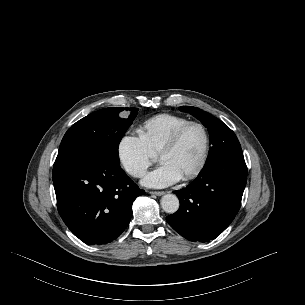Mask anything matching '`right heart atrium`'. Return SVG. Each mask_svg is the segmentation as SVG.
Wrapping results in <instances>:
<instances>
[{
	"label": "right heart atrium",
	"mask_w": 305,
	"mask_h": 305,
	"mask_svg": "<svg viewBox=\"0 0 305 305\" xmlns=\"http://www.w3.org/2000/svg\"><path fill=\"white\" fill-rule=\"evenodd\" d=\"M117 155L125 171L133 177H141L155 161L154 154L138 135L124 134L117 145Z\"/></svg>",
	"instance_id": "right-heart-atrium-1"
}]
</instances>
